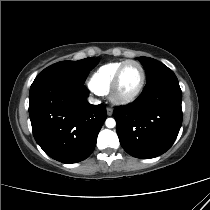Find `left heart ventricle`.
<instances>
[{
	"label": "left heart ventricle",
	"mask_w": 210,
	"mask_h": 210,
	"mask_svg": "<svg viewBox=\"0 0 210 210\" xmlns=\"http://www.w3.org/2000/svg\"><path fill=\"white\" fill-rule=\"evenodd\" d=\"M141 79V72L136 64H128L122 71L119 93L122 95L133 92L138 86Z\"/></svg>",
	"instance_id": "left-heart-ventricle-1"
}]
</instances>
